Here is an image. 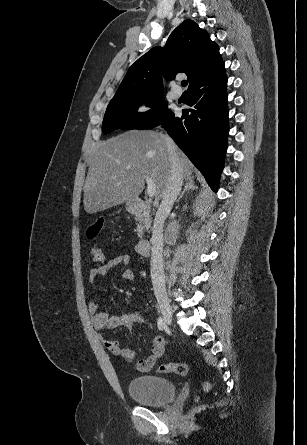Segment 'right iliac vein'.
<instances>
[{
	"mask_svg": "<svg viewBox=\"0 0 307 445\" xmlns=\"http://www.w3.org/2000/svg\"><path fill=\"white\" fill-rule=\"evenodd\" d=\"M164 321L167 325L172 323V307L167 299H159L158 301Z\"/></svg>",
	"mask_w": 307,
	"mask_h": 445,
	"instance_id": "1",
	"label": "right iliac vein"
}]
</instances>
